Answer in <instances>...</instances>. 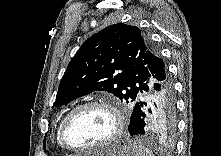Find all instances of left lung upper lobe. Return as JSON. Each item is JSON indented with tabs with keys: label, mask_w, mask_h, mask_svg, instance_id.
Listing matches in <instances>:
<instances>
[{
	"label": "left lung upper lobe",
	"mask_w": 221,
	"mask_h": 156,
	"mask_svg": "<svg viewBox=\"0 0 221 156\" xmlns=\"http://www.w3.org/2000/svg\"><path fill=\"white\" fill-rule=\"evenodd\" d=\"M166 69L138 27L113 24L79 48L61 79L53 106L60 107L97 90L110 92L134 106L146 93L148 78Z\"/></svg>",
	"instance_id": "left-lung-upper-lobe-1"
}]
</instances>
